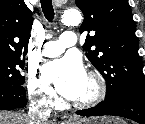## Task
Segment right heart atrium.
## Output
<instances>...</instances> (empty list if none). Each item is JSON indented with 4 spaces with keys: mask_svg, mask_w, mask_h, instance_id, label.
Wrapping results in <instances>:
<instances>
[{
    "mask_svg": "<svg viewBox=\"0 0 145 124\" xmlns=\"http://www.w3.org/2000/svg\"><path fill=\"white\" fill-rule=\"evenodd\" d=\"M27 91L34 104L45 109H53L58 103L57 95L35 72L28 74Z\"/></svg>",
    "mask_w": 145,
    "mask_h": 124,
    "instance_id": "d8ad5b80",
    "label": "right heart atrium"
}]
</instances>
